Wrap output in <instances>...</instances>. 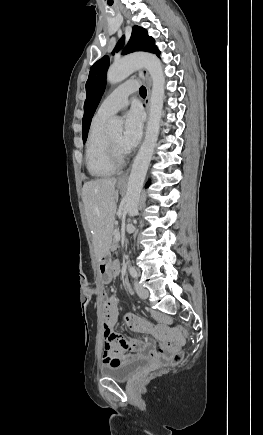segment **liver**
<instances>
[{"label":"liver","mask_w":263,"mask_h":435,"mask_svg":"<svg viewBox=\"0 0 263 435\" xmlns=\"http://www.w3.org/2000/svg\"><path fill=\"white\" fill-rule=\"evenodd\" d=\"M115 185V178L97 179L86 182L82 189V200L97 258L108 252L111 243L118 201Z\"/></svg>","instance_id":"6515ba94"}]
</instances>
